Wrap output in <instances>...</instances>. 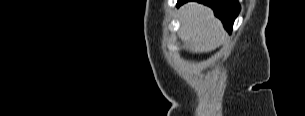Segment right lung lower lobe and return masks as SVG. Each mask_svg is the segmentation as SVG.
I'll return each instance as SVG.
<instances>
[{
	"label": "right lung lower lobe",
	"mask_w": 305,
	"mask_h": 116,
	"mask_svg": "<svg viewBox=\"0 0 305 116\" xmlns=\"http://www.w3.org/2000/svg\"><path fill=\"white\" fill-rule=\"evenodd\" d=\"M190 0H178L177 7ZM211 7L216 17H218L228 31H232L235 18L240 11V5L237 0H195Z\"/></svg>",
	"instance_id": "98d812e1"
}]
</instances>
